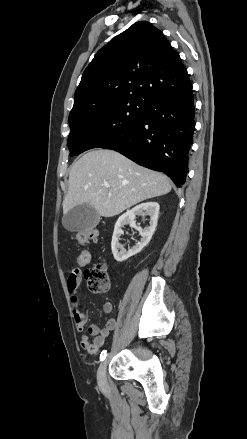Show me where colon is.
Here are the masks:
<instances>
[{"label": "colon", "mask_w": 247, "mask_h": 439, "mask_svg": "<svg viewBox=\"0 0 247 439\" xmlns=\"http://www.w3.org/2000/svg\"><path fill=\"white\" fill-rule=\"evenodd\" d=\"M99 233L96 229H85L76 233L75 241L80 246H85L90 242H98ZM91 255L87 249H83L77 256V263L85 267L90 263ZM85 278L88 288L93 293H103L108 290L110 282L106 266L103 263H97L85 270Z\"/></svg>", "instance_id": "1"}]
</instances>
